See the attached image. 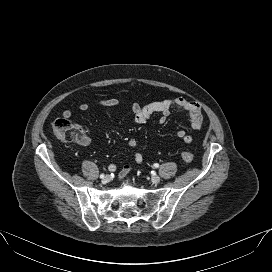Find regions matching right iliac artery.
<instances>
[{
	"mask_svg": "<svg viewBox=\"0 0 272 272\" xmlns=\"http://www.w3.org/2000/svg\"><path fill=\"white\" fill-rule=\"evenodd\" d=\"M100 178H104V174H101V175H100Z\"/></svg>",
	"mask_w": 272,
	"mask_h": 272,
	"instance_id": "right-iliac-artery-1",
	"label": "right iliac artery"
}]
</instances>
